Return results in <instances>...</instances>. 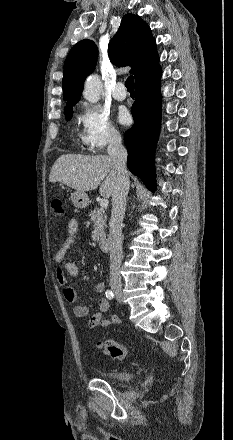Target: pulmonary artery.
Listing matches in <instances>:
<instances>
[{
    "label": "pulmonary artery",
    "mask_w": 233,
    "mask_h": 440,
    "mask_svg": "<svg viewBox=\"0 0 233 440\" xmlns=\"http://www.w3.org/2000/svg\"><path fill=\"white\" fill-rule=\"evenodd\" d=\"M113 97L118 101H123L127 97V93L124 89V85L121 82H117L112 91Z\"/></svg>",
    "instance_id": "1"
}]
</instances>
